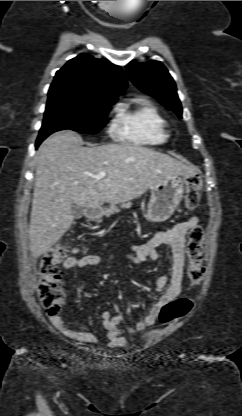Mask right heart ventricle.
Returning a JSON list of instances; mask_svg holds the SVG:
<instances>
[{"label": "right heart ventricle", "mask_w": 242, "mask_h": 416, "mask_svg": "<svg viewBox=\"0 0 242 416\" xmlns=\"http://www.w3.org/2000/svg\"><path fill=\"white\" fill-rule=\"evenodd\" d=\"M117 137L139 145H158L167 141V123L158 109L145 99L117 105Z\"/></svg>", "instance_id": "1"}]
</instances>
